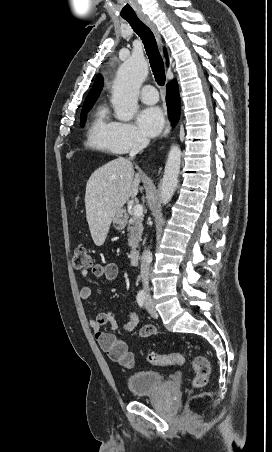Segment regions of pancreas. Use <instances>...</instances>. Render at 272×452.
<instances>
[{"mask_svg": "<svg viewBox=\"0 0 272 452\" xmlns=\"http://www.w3.org/2000/svg\"><path fill=\"white\" fill-rule=\"evenodd\" d=\"M143 217L132 215L130 220L128 221L127 230L129 232L128 245L132 249H136L138 247L139 241L141 240L143 226H142Z\"/></svg>", "mask_w": 272, "mask_h": 452, "instance_id": "pancreas-1", "label": "pancreas"}]
</instances>
